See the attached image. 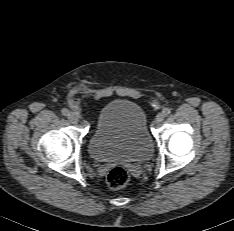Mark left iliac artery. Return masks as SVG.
Here are the masks:
<instances>
[{
	"label": "left iliac artery",
	"instance_id": "left-iliac-artery-1",
	"mask_svg": "<svg viewBox=\"0 0 234 231\" xmlns=\"http://www.w3.org/2000/svg\"><path fill=\"white\" fill-rule=\"evenodd\" d=\"M171 110L169 108H164L163 113L165 116H168L170 114Z\"/></svg>",
	"mask_w": 234,
	"mask_h": 231
}]
</instances>
